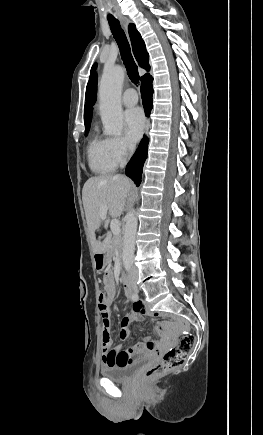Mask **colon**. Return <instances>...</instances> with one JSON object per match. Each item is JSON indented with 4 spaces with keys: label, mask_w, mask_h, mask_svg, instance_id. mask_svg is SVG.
Segmentation results:
<instances>
[{
    "label": "colon",
    "mask_w": 263,
    "mask_h": 435,
    "mask_svg": "<svg viewBox=\"0 0 263 435\" xmlns=\"http://www.w3.org/2000/svg\"><path fill=\"white\" fill-rule=\"evenodd\" d=\"M104 293L99 295V303L103 301ZM100 348L101 350H114L116 335L113 334L112 328H103L101 336ZM194 345V336L185 330L181 334L178 344L169 349L161 361L148 368L141 376L144 383L152 382L167 372L183 365Z\"/></svg>",
    "instance_id": "1"
}]
</instances>
